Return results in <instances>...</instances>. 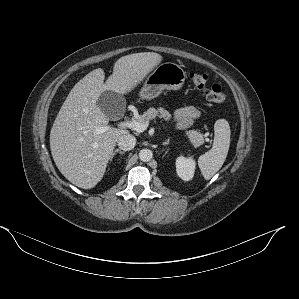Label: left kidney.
Instances as JSON below:
<instances>
[{
    "label": "left kidney",
    "instance_id": "5707ae66",
    "mask_svg": "<svg viewBox=\"0 0 299 299\" xmlns=\"http://www.w3.org/2000/svg\"><path fill=\"white\" fill-rule=\"evenodd\" d=\"M195 166L196 163L192 157L186 158L180 156L176 159V172L178 176L185 181H189L193 178Z\"/></svg>",
    "mask_w": 299,
    "mask_h": 299
}]
</instances>
